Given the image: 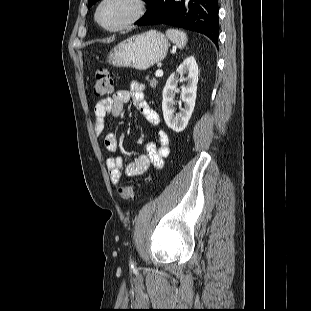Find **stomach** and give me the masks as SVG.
<instances>
[{"instance_id": "0dacf381", "label": "stomach", "mask_w": 311, "mask_h": 311, "mask_svg": "<svg viewBox=\"0 0 311 311\" xmlns=\"http://www.w3.org/2000/svg\"><path fill=\"white\" fill-rule=\"evenodd\" d=\"M168 47L169 42L164 34L150 30L116 45L108 54L107 63L115 67L146 70L166 57Z\"/></svg>"}]
</instances>
